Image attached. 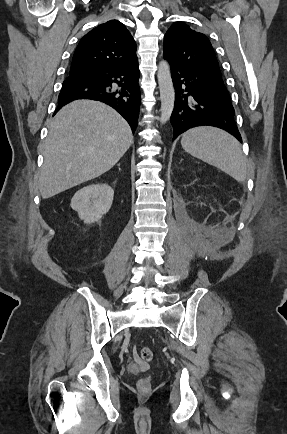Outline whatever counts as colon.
<instances>
[{"instance_id": "5ec220e1", "label": "colon", "mask_w": 287, "mask_h": 434, "mask_svg": "<svg viewBox=\"0 0 287 434\" xmlns=\"http://www.w3.org/2000/svg\"><path fill=\"white\" fill-rule=\"evenodd\" d=\"M137 360L144 362H151L153 359V353L150 348L142 347L137 351ZM137 389L142 394H147L151 389V379L150 377H142L137 383Z\"/></svg>"}]
</instances>
